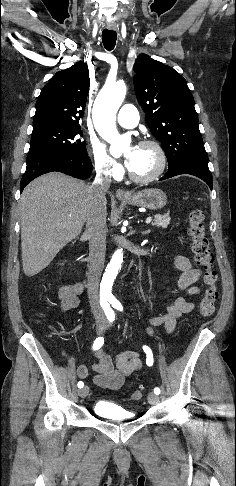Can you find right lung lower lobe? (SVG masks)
<instances>
[{"label": "right lung lower lobe", "mask_w": 236, "mask_h": 486, "mask_svg": "<svg viewBox=\"0 0 236 486\" xmlns=\"http://www.w3.org/2000/svg\"><path fill=\"white\" fill-rule=\"evenodd\" d=\"M92 163L87 155L36 152L27 156L26 171L20 182V192L36 177L53 171L86 179L92 172Z\"/></svg>", "instance_id": "1"}]
</instances>
